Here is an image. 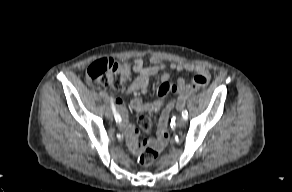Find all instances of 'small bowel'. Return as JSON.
<instances>
[{
  "instance_id": "c3829d8e",
  "label": "small bowel",
  "mask_w": 292,
  "mask_h": 192,
  "mask_svg": "<svg viewBox=\"0 0 292 192\" xmlns=\"http://www.w3.org/2000/svg\"><path fill=\"white\" fill-rule=\"evenodd\" d=\"M132 68L137 74V77L124 90L125 94H131L136 91L146 94L149 88L150 77L162 72L160 76L162 83L159 85L160 90L158 92L159 97L157 100L146 105L143 104L140 98H135L131 102L132 108L137 112L155 113L162 108V113L159 115L160 120L157 124L159 136H156L157 140L149 139L140 142L138 139L139 130L129 123L126 108L120 98L116 99V105L121 114V120L118 124L119 128L126 137L129 149L134 154H139L141 150L148 145H153L156 149L161 150L165 146L166 142L164 143V141L168 139L167 126L171 117L170 110L180 105L187 95L207 85L210 79L209 71L203 65L192 63L165 64L156 56L150 58L148 66L144 65L142 59L136 58L133 60ZM167 69L174 70L176 72H195L196 75L187 85L183 79H179L178 82L172 83L169 81L170 76L166 72ZM166 95L169 102H167L166 106H164L166 102ZM149 128L147 130H149Z\"/></svg>"
}]
</instances>
